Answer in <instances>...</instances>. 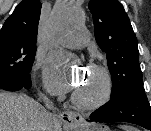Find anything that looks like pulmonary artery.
<instances>
[{
  "label": "pulmonary artery",
  "instance_id": "e3ab8cb5",
  "mask_svg": "<svg viewBox=\"0 0 151 131\" xmlns=\"http://www.w3.org/2000/svg\"><path fill=\"white\" fill-rule=\"evenodd\" d=\"M89 40V32L84 28H77L67 36L65 45L70 47H84L89 43Z\"/></svg>",
  "mask_w": 151,
  "mask_h": 131
}]
</instances>
